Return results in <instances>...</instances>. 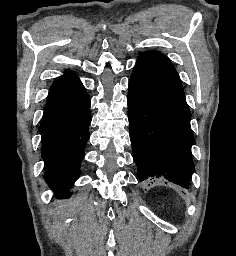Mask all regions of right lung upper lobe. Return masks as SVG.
Instances as JSON below:
<instances>
[{
	"label": "right lung upper lobe",
	"mask_w": 236,
	"mask_h": 256,
	"mask_svg": "<svg viewBox=\"0 0 236 256\" xmlns=\"http://www.w3.org/2000/svg\"><path fill=\"white\" fill-rule=\"evenodd\" d=\"M79 82L80 80L75 74H73L70 70L66 71L64 76L58 77L54 80V83L49 90L47 103L59 96L64 91L77 85Z\"/></svg>",
	"instance_id": "cb5924a9"
}]
</instances>
